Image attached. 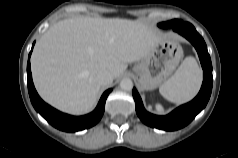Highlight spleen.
<instances>
[{
  "mask_svg": "<svg viewBox=\"0 0 238 158\" xmlns=\"http://www.w3.org/2000/svg\"><path fill=\"white\" fill-rule=\"evenodd\" d=\"M202 72L194 57H186L176 72L160 87V94L170 102L182 104L193 99L199 91Z\"/></svg>",
  "mask_w": 238,
  "mask_h": 158,
  "instance_id": "3e777b00",
  "label": "spleen"
}]
</instances>
